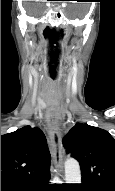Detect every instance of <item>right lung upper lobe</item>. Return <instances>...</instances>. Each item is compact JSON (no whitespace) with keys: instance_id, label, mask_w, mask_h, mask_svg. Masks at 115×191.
I'll return each mask as SVG.
<instances>
[{"instance_id":"1","label":"right lung upper lobe","mask_w":115,"mask_h":191,"mask_svg":"<svg viewBox=\"0 0 115 191\" xmlns=\"http://www.w3.org/2000/svg\"><path fill=\"white\" fill-rule=\"evenodd\" d=\"M50 162L41 129L24 126L1 135V185H19L48 177Z\"/></svg>"}]
</instances>
